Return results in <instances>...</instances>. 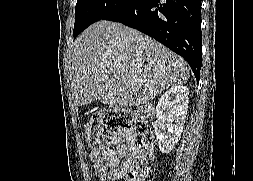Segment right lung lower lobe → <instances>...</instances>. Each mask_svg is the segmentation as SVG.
<instances>
[{
	"instance_id": "obj_1",
	"label": "right lung lower lobe",
	"mask_w": 253,
	"mask_h": 181,
	"mask_svg": "<svg viewBox=\"0 0 253 181\" xmlns=\"http://www.w3.org/2000/svg\"><path fill=\"white\" fill-rule=\"evenodd\" d=\"M104 20L135 28L182 56L199 80L201 0H127Z\"/></svg>"
}]
</instances>
